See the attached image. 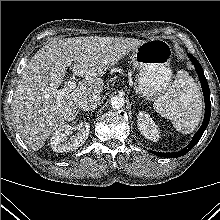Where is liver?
Instances as JSON below:
<instances>
[{
  "mask_svg": "<svg viewBox=\"0 0 220 220\" xmlns=\"http://www.w3.org/2000/svg\"><path fill=\"white\" fill-rule=\"evenodd\" d=\"M143 40L119 37H75L51 41L32 57L20 75L12 101L17 130L34 151L44 146L58 128L78 114L80 101L100 94L102 76ZM67 67L82 77L61 100L54 92L62 84Z\"/></svg>",
  "mask_w": 220,
  "mask_h": 220,
  "instance_id": "liver-1",
  "label": "liver"
}]
</instances>
